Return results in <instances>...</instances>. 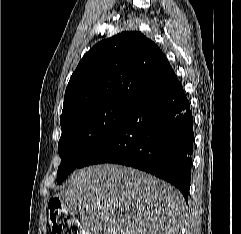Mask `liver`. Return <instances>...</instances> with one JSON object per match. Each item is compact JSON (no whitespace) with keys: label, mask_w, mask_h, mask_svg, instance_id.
<instances>
[{"label":"liver","mask_w":241,"mask_h":234,"mask_svg":"<svg viewBox=\"0 0 241 234\" xmlns=\"http://www.w3.org/2000/svg\"><path fill=\"white\" fill-rule=\"evenodd\" d=\"M57 196L64 209L79 213L86 234H176L185 217L175 187L115 164L75 171Z\"/></svg>","instance_id":"obj_1"}]
</instances>
